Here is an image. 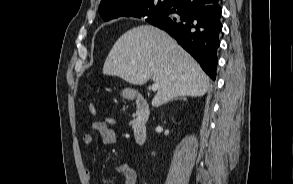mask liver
I'll list each match as a JSON object with an SVG mask.
<instances>
[{"label":"liver","mask_w":293,"mask_h":184,"mask_svg":"<svg viewBox=\"0 0 293 184\" xmlns=\"http://www.w3.org/2000/svg\"><path fill=\"white\" fill-rule=\"evenodd\" d=\"M103 74L143 85L153 79L159 85L152 106L184 96H203L210 79L198 63L163 30L140 25L125 32L113 45Z\"/></svg>","instance_id":"1"}]
</instances>
